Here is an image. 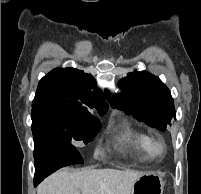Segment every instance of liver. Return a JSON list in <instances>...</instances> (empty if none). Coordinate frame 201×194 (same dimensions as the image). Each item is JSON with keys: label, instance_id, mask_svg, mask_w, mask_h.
I'll return each instance as SVG.
<instances>
[{"label": "liver", "instance_id": "6515ba94", "mask_svg": "<svg viewBox=\"0 0 201 194\" xmlns=\"http://www.w3.org/2000/svg\"><path fill=\"white\" fill-rule=\"evenodd\" d=\"M142 172L116 169H61L47 177L37 194H130Z\"/></svg>", "mask_w": 201, "mask_h": 194}]
</instances>
